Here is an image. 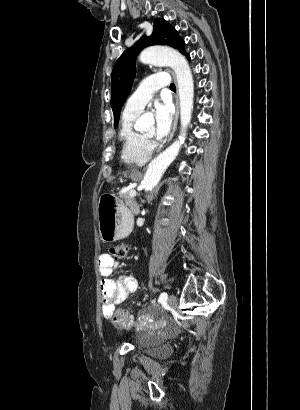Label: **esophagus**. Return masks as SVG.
<instances>
[{
    "label": "esophagus",
    "mask_w": 300,
    "mask_h": 410,
    "mask_svg": "<svg viewBox=\"0 0 300 410\" xmlns=\"http://www.w3.org/2000/svg\"><path fill=\"white\" fill-rule=\"evenodd\" d=\"M173 78H174V81L176 82V78H175L174 74H173ZM175 104H176V112H175V116H174V121H173L172 129H171V133H170V136L168 138L167 143L170 142L171 139L173 138V136L175 134V131H176V128H177V124H178V118H179V98H178V94L176 95Z\"/></svg>",
    "instance_id": "obj_1"
}]
</instances>
